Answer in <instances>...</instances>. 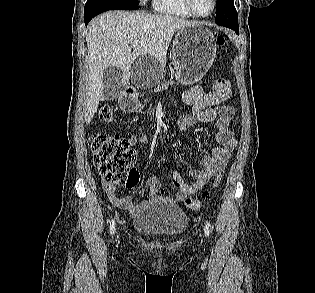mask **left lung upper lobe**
I'll return each mask as SVG.
<instances>
[{"label": "left lung upper lobe", "mask_w": 315, "mask_h": 293, "mask_svg": "<svg viewBox=\"0 0 315 293\" xmlns=\"http://www.w3.org/2000/svg\"><path fill=\"white\" fill-rule=\"evenodd\" d=\"M215 23L235 31L239 28L234 0H217Z\"/></svg>", "instance_id": "5c2ea615"}]
</instances>
